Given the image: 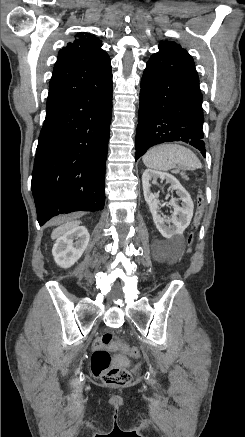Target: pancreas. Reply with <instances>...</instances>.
I'll return each instance as SVG.
<instances>
[{
	"instance_id": "pancreas-1",
	"label": "pancreas",
	"mask_w": 245,
	"mask_h": 437,
	"mask_svg": "<svg viewBox=\"0 0 245 437\" xmlns=\"http://www.w3.org/2000/svg\"><path fill=\"white\" fill-rule=\"evenodd\" d=\"M176 173H178V171H176ZM182 178L186 179L187 176L184 173H181Z\"/></svg>"
}]
</instances>
